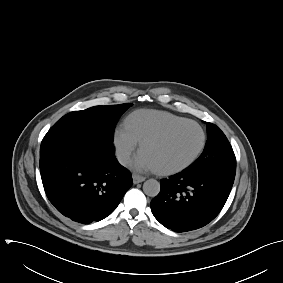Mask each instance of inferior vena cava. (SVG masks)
<instances>
[{
	"mask_svg": "<svg viewBox=\"0 0 283 283\" xmlns=\"http://www.w3.org/2000/svg\"><path fill=\"white\" fill-rule=\"evenodd\" d=\"M117 158L123 166H126L130 163V156L127 153H120L117 155Z\"/></svg>",
	"mask_w": 283,
	"mask_h": 283,
	"instance_id": "602c4592",
	"label": "inferior vena cava"
}]
</instances>
